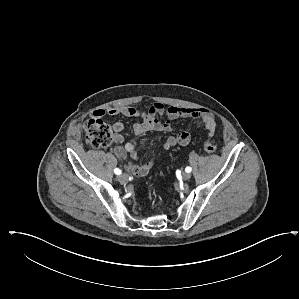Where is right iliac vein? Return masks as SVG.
<instances>
[{"instance_id":"right-iliac-vein-1","label":"right iliac vein","mask_w":299,"mask_h":299,"mask_svg":"<svg viewBox=\"0 0 299 299\" xmlns=\"http://www.w3.org/2000/svg\"><path fill=\"white\" fill-rule=\"evenodd\" d=\"M126 180H127V174L123 173V174L118 176V181L120 183H124Z\"/></svg>"}]
</instances>
